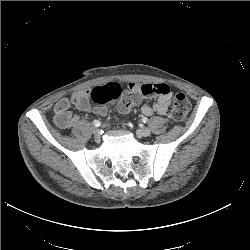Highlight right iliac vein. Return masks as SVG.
Masks as SVG:
<instances>
[{
    "instance_id": "obj_1",
    "label": "right iliac vein",
    "mask_w": 250,
    "mask_h": 250,
    "mask_svg": "<svg viewBox=\"0 0 250 250\" xmlns=\"http://www.w3.org/2000/svg\"><path fill=\"white\" fill-rule=\"evenodd\" d=\"M91 131L95 135V137L98 138V136H99V129L97 127H92Z\"/></svg>"
}]
</instances>
